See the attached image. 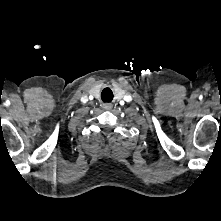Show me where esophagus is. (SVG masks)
Wrapping results in <instances>:
<instances>
[{
    "mask_svg": "<svg viewBox=\"0 0 221 221\" xmlns=\"http://www.w3.org/2000/svg\"><path fill=\"white\" fill-rule=\"evenodd\" d=\"M111 107H112V105H111V104H108V103L103 105V108H104L105 110H110Z\"/></svg>",
    "mask_w": 221,
    "mask_h": 221,
    "instance_id": "34e87169",
    "label": "esophagus"
}]
</instances>
